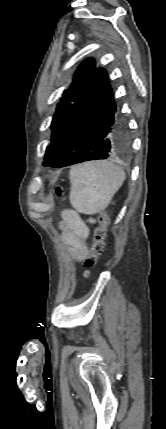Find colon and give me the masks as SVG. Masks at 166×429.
Wrapping results in <instances>:
<instances>
[{
	"label": "colon",
	"mask_w": 166,
	"mask_h": 429,
	"mask_svg": "<svg viewBox=\"0 0 166 429\" xmlns=\"http://www.w3.org/2000/svg\"><path fill=\"white\" fill-rule=\"evenodd\" d=\"M61 190L57 189V195L61 196ZM100 225L94 231V240L90 246V251L84 259V276H88L89 271L97 265L98 258L104 253L105 241L107 237V227L110 222L107 212L102 211L99 217Z\"/></svg>",
	"instance_id": "colon-1"
}]
</instances>
